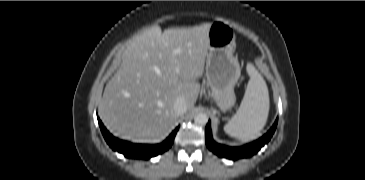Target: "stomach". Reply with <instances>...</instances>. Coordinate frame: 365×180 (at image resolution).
Listing matches in <instances>:
<instances>
[{
    "mask_svg": "<svg viewBox=\"0 0 365 180\" xmlns=\"http://www.w3.org/2000/svg\"><path fill=\"white\" fill-rule=\"evenodd\" d=\"M235 39V32L227 22L217 20L210 23L206 61L207 84L214 102L224 112L235 105L234 87L241 75L238 59L233 55Z\"/></svg>",
    "mask_w": 365,
    "mask_h": 180,
    "instance_id": "1",
    "label": "stomach"
}]
</instances>
